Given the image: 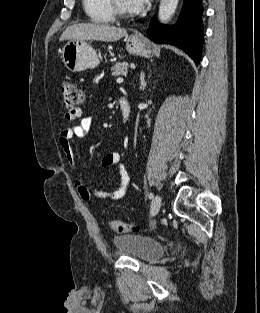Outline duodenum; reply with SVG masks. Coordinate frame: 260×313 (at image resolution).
<instances>
[{
  "label": "duodenum",
  "instance_id": "410a0bca",
  "mask_svg": "<svg viewBox=\"0 0 260 313\" xmlns=\"http://www.w3.org/2000/svg\"><path fill=\"white\" fill-rule=\"evenodd\" d=\"M120 107L122 111L123 121L127 122L131 113V106H130L129 101L125 98L120 99Z\"/></svg>",
  "mask_w": 260,
  "mask_h": 313
}]
</instances>
